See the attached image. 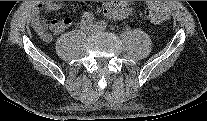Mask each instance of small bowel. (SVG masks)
Segmentation results:
<instances>
[{
	"mask_svg": "<svg viewBox=\"0 0 207 121\" xmlns=\"http://www.w3.org/2000/svg\"><path fill=\"white\" fill-rule=\"evenodd\" d=\"M62 3L47 1L37 4L30 13L31 24L38 36L45 42L52 40L53 35H59L71 24L72 19L65 17L54 19L49 24L43 17L44 13L57 11ZM129 12V4L125 1H111L104 4V13L110 19H118Z\"/></svg>",
	"mask_w": 207,
	"mask_h": 121,
	"instance_id": "small-bowel-1",
	"label": "small bowel"
}]
</instances>
